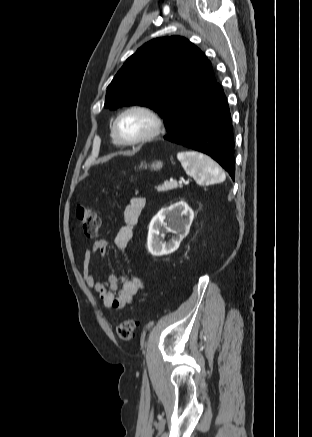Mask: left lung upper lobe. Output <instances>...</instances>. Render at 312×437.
Wrapping results in <instances>:
<instances>
[{"instance_id": "1", "label": "left lung upper lobe", "mask_w": 312, "mask_h": 437, "mask_svg": "<svg viewBox=\"0 0 312 437\" xmlns=\"http://www.w3.org/2000/svg\"><path fill=\"white\" fill-rule=\"evenodd\" d=\"M216 83L211 62L180 36L151 40L131 55L107 87L105 107L141 105L165 118L172 134Z\"/></svg>"}]
</instances>
